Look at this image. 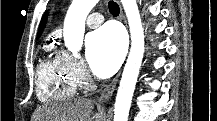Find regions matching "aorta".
<instances>
[{"label":"aorta","instance_id":"762f6f07","mask_svg":"<svg viewBox=\"0 0 217 121\" xmlns=\"http://www.w3.org/2000/svg\"><path fill=\"white\" fill-rule=\"evenodd\" d=\"M99 0H73L64 21L65 46L77 56L83 44L85 21ZM131 34V49L114 106V121H128L129 110L144 54V31L136 0H121Z\"/></svg>","mask_w":217,"mask_h":121}]
</instances>
